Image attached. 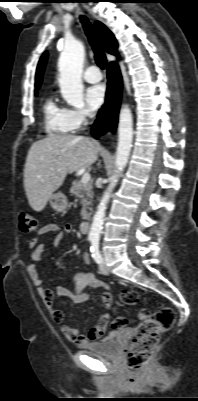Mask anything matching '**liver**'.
Here are the masks:
<instances>
[{"instance_id": "liver-1", "label": "liver", "mask_w": 198, "mask_h": 401, "mask_svg": "<svg viewBox=\"0 0 198 401\" xmlns=\"http://www.w3.org/2000/svg\"><path fill=\"white\" fill-rule=\"evenodd\" d=\"M98 154L96 142L84 136L55 134L34 142L24 168V188L33 210L42 211L66 175L89 168Z\"/></svg>"}]
</instances>
